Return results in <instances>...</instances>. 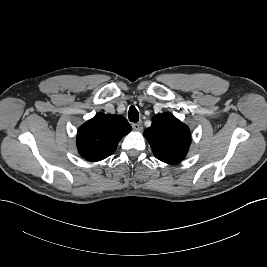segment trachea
I'll return each mask as SVG.
<instances>
[{"mask_svg":"<svg viewBox=\"0 0 267 267\" xmlns=\"http://www.w3.org/2000/svg\"><path fill=\"white\" fill-rule=\"evenodd\" d=\"M128 118L131 122H138L139 120V113L135 106H130L128 111Z\"/></svg>","mask_w":267,"mask_h":267,"instance_id":"3493384b","label":"trachea"}]
</instances>
